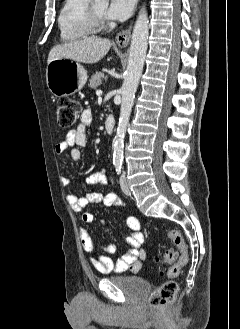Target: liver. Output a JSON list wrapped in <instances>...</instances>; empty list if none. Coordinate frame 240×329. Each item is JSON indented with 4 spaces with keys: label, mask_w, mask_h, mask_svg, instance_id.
Segmentation results:
<instances>
[{
    "label": "liver",
    "mask_w": 240,
    "mask_h": 329,
    "mask_svg": "<svg viewBox=\"0 0 240 329\" xmlns=\"http://www.w3.org/2000/svg\"><path fill=\"white\" fill-rule=\"evenodd\" d=\"M110 47L109 39L95 37L59 44L49 52L47 63L62 58L87 64L97 63L108 53Z\"/></svg>",
    "instance_id": "liver-1"
}]
</instances>
